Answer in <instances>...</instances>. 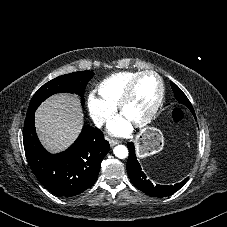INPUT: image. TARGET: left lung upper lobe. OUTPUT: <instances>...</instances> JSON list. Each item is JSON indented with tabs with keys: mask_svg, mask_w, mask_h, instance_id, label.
<instances>
[{
	"mask_svg": "<svg viewBox=\"0 0 227 227\" xmlns=\"http://www.w3.org/2000/svg\"><path fill=\"white\" fill-rule=\"evenodd\" d=\"M171 87L174 92V96H175L176 100L179 103L187 106L191 111H194L190 101L188 100L186 95L182 92V90L177 85H175L173 82H171Z\"/></svg>",
	"mask_w": 227,
	"mask_h": 227,
	"instance_id": "obj_1",
	"label": "left lung upper lobe"
}]
</instances>
